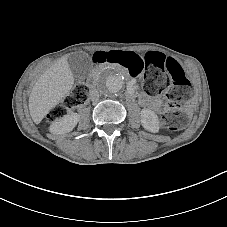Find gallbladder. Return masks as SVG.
<instances>
[{
	"instance_id": "1",
	"label": "gallbladder",
	"mask_w": 227,
	"mask_h": 227,
	"mask_svg": "<svg viewBox=\"0 0 227 227\" xmlns=\"http://www.w3.org/2000/svg\"><path fill=\"white\" fill-rule=\"evenodd\" d=\"M68 63L76 81H84L93 69L92 59L85 52L71 54Z\"/></svg>"
}]
</instances>
